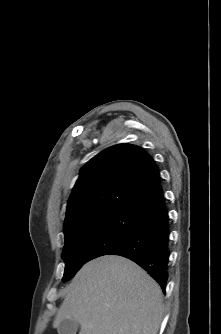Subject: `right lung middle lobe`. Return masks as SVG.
I'll return each instance as SVG.
<instances>
[{
    "instance_id": "dd1d6c3e",
    "label": "right lung middle lobe",
    "mask_w": 221,
    "mask_h": 334,
    "mask_svg": "<svg viewBox=\"0 0 221 334\" xmlns=\"http://www.w3.org/2000/svg\"><path fill=\"white\" fill-rule=\"evenodd\" d=\"M138 214L122 211L102 213L76 224L65 234L62 258L65 271L62 281L72 278L86 262L106 255L131 230Z\"/></svg>"
}]
</instances>
